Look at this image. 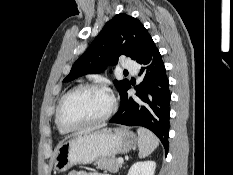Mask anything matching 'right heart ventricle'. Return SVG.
Instances as JSON below:
<instances>
[{
  "mask_svg": "<svg viewBox=\"0 0 233 175\" xmlns=\"http://www.w3.org/2000/svg\"><path fill=\"white\" fill-rule=\"evenodd\" d=\"M57 128H58L59 132L64 133V131H62L58 126H57Z\"/></svg>",
  "mask_w": 233,
  "mask_h": 175,
  "instance_id": "1",
  "label": "right heart ventricle"
}]
</instances>
